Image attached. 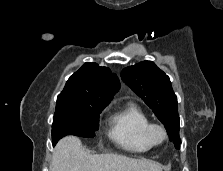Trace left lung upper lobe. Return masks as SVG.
Listing matches in <instances>:
<instances>
[{
  "label": "left lung upper lobe",
  "mask_w": 223,
  "mask_h": 171,
  "mask_svg": "<svg viewBox=\"0 0 223 171\" xmlns=\"http://www.w3.org/2000/svg\"><path fill=\"white\" fill-rule=\"evenodd\" d=\"M123 81L152 109L164 124L169 140L179 148L180 119L177 97L169 77L152 61H143L123 69Z\"/></svg>",
  "instance_id": "left-lung-upper-lobe-1"
}]
</instances>
